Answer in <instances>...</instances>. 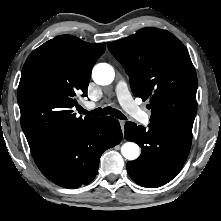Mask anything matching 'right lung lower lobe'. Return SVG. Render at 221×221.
I'll list each match as a JSON object with an SVG mask.
<instances>
[{
    "label": "right lung lower lobe",
    "mask_w": 221,
    "mask_h": 221,
    "mask_svg": "<svg viewBox=\"0 0 221 221\" xmlns=\"http://www.w3.org/2000/svg\"><path fill=\"white\" fill-rule=\"evenodd\" d=\"M121 139L118 120L108 116L96 118L34 160L43 175L53 183L77 188L95 178L101 155L119 144Z\"/></svg>",
    "instance_id": "98d812e1"
}]
</instances>
